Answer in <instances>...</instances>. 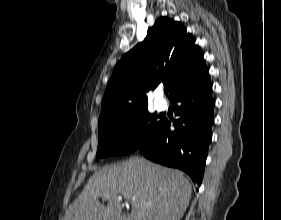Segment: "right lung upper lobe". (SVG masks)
<instances>
[{"instance_id": "1", "label": "right lung upper lobe", "mask_w": 281, "mask_h": 220, "mask_svg": "<svg viewBox=\"0 0 281 220\" xmlns=\"http://www.w3.org/2000/svg\"><path fill=\"white\" fill-rule=\"evenodd\" d=\"M209 80L201 49L180 22L160 17L143 42L125 53L114 68L102 100L99 125L147 108V92L160 82L169 98Z\"/></svg>"}]
</instances>
